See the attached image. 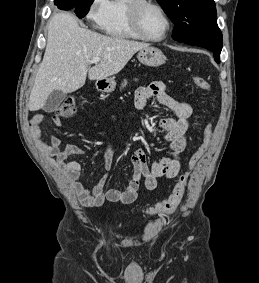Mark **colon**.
<instances>
[{"mask_svg": "<svg viewBox=\"0 0 259 283\" xmlns=\"http://www.w3.org/2000/svg\"><path fill=\"white\" fill-rule=\"evenodd\" d=\"M192 79H193V83L198 88L204 91L211 90V85L205 78L195 75L193 76ZM75 113H76V100L74 97H67L60 103V105L56 109V114L58 116L65 118L72 117ZM211 135H212V128L209 125L205 128L199 145L197 146L196 150L192 153L189 159V163H188L189 170H191L195 166V164L198 162V160L202 157V155L206 151L211 139ZM188 178H189V171L181 175L178 183L173 188L170 196L166 200L156 204L155 206L148 208L147 213L159 215V214L173 212L178 207L185 194Z\"/></svg>", "mask_w": 259, "mask_h": 283, "instance_id": "colon-1", "label": "colon"}]
</instances>
